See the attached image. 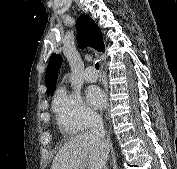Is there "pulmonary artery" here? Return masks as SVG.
<instances>
[{
  "label": "pulmonary artery",
  "mask_w": 177,
  "mask_h": 169,
  "mask_svg": "<svg viewBox=\"0 0 177 169\" xmlns=\"http://www.w3.org/2000/svg\"><path fill=\"white\" fill-rule=\"evenodd\" d=\"M98 79V73L93 66H89L85 69L84 80L86 82H95Z\"/></svg>",
  "instance_id": "obj_1"
}]
</instances>
